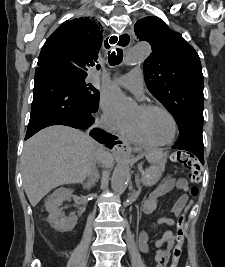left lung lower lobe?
Returning a JSON list of instances; mask_svg holds the SVG:
<instances>
[{
    "label": "left lung lower lobe",
    "mask_w": 225,
    "mask_h": 267,
    "mask_svg": "<svg viewBox=\"0 0 225 267\" xmlns=\"http://www.w3.org/2000/svg\"><path fill=\"white\" fill-rule=\"evenodd\" d=\"M172 148L189 151L197 156L200 162L204 164V145L201 133L192 134L182 142H177Z\"/></svg>",
    "instance_id": "obj_1"
}]
</instances>
